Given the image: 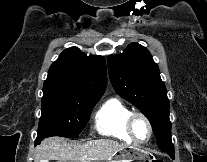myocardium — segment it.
<instances>
[{
  "instance_id": "myocardium-1",
  "label": "myocardium",
  "mask_w": 207,
  "mask_h": 162,
  "mask_svg": "<svg viewBox=\"0 0 207 162\" xmlns=\"http://www.w3.org/2000/svg\"><path fill=\"white\" fill-rule=\"evenodd\" d=\"M137 118H141L146 123V125L148 127V137L145 140H138L134 135L133 123ZM126 131L129 135V137L132 139V141H134L136 143L148 142L151 139L152 134H153V128H152V124H151L150 120L148 119V117L146 115H144L141 112L131 113V115L128 117L127 122H126Z\"/></svg>"
}]
</instances>
